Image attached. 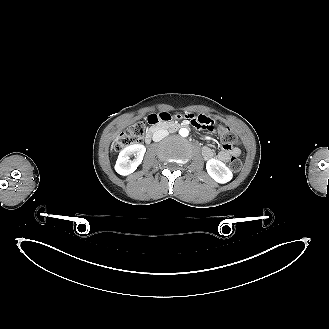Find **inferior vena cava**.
Wrapping results in <instances>:
<instances>
[{
	"label": "inferior vena cava",
	"mask_w": 329,
	"mask_h": 329,
	"mask_svg": "<svg viewBox=\"0 0 329 329\" xmlns=\"http://www.w3.org/2000/svg\"><path fill=\"white\" fill-rule=\"evenodd\" d=\"M168 135H169V132L167 130H163V129L157 130L153 134V141L159 142L160 140H162L163 138H165Z\"/></svg>",
	"instance_id": "1"
}]
</instances>
